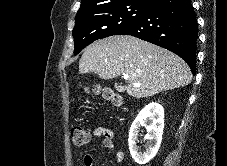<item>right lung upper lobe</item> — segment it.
<instances>
[{
	"mask_svg": "<svg viewBox=\"0 0 227 166\" xmlns=\"http://www.w3.org/2000/svg\"><path fill=\"white\" fill-rule=\"evenodd\" d=\"M156 0H82L77 14L95 11L112 5L140 3L151 6Z\"/></svg>",
	"mask_w": 227,
	"mask_h": 166,
	"instance_id": "cb5924a9",
	"label": "right lung upper lobe"
}]
</instances>
